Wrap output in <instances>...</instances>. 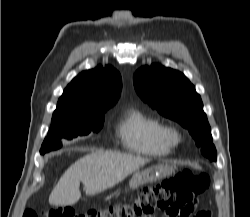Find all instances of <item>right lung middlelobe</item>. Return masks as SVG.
<instances>
[{
  "label": "right lung middle lobe",
  "instance_id": "right-lung-middle-lobe-1",
  "mask_svg": "<svg viewBox=\"0 0 250 217\" xmlns=\"http://www.w3.org/2000/svg\"><path fill=\"white\" fill-rule=\"evenodd\" d=\"M104 112L94 113L87 117L52 120L48 136L41 146L40 153L44 154L61 148V139L70 140L77 136L88 135L90 132H98L104 123Z\"/></svg>",
  "mask_w": 250,
  "mask_h": 217
}]
</instances>
